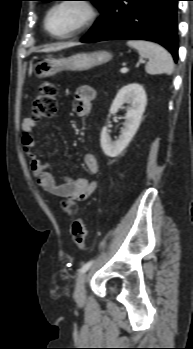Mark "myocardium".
Wrapping results in <instances>:
<instances>
[{"instance_id":"obj_1","label":"myocardium","mask_w":193,"mask_h":349,"mask_svg":"<svg viewBox=\"0 0 193 349\" xmlns=\"http://www.w3.org/2000/svg\"><path fill=\"white\" fill-rule=\"evenodd\" d=\"M70 3H75L80 6H82L86 12V18L82 23H80L77 27L72 29L71 31L65 33V34H54L53 32L50 31L48 27V19L50 14L59 6L70 4ZM99 16V9L98 7L91 1V0H60L55 2L45 13L44 17V28L47 31V33L52 36L53 38L56 39H69L72 38L83 31H85L87 28H89L98 18Z\"/></svg>"}]
</instances>
